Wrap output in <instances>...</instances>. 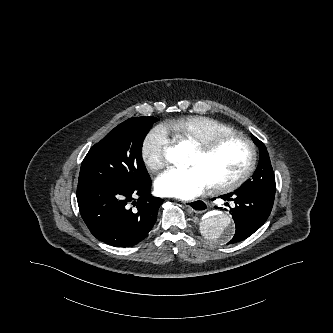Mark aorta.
Masks as SVG:
<instances>
[{
  "instance_id": "762f6f07",
  "label": "aorta",
  "mask_w": 333,
  "mask_h": 333,
  "mask_svg": "<svg viewBox=\"0 0 333 333\" xmlns=\"http://www.w3.org/2000/svg\"><path fill=\"white\" fill-rule=\"evenodd\" d=\"M189 149L183 145H177L167 155L169 162L182 167L190 165ZM234 223L232 218L219 211L212 212L202 222V234L205 238L222 243L228 241L234 234Z\"/></svg>"
}]
</instances>
